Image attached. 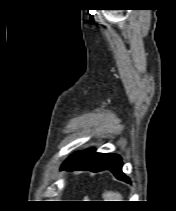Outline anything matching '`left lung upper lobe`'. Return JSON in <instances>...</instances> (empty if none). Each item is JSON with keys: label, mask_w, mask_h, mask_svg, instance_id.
<instances>
[{"label": "left lung upper lobe", "mask_w": 176, "mask_h": 211, "mask_svg": "<svg viewBox=\"0 0 176 211\" xmlns=\"http://www.w3.org/2000/svg\"><path fill=\"white\" fill-rule=\"evenodd\" d=\"M75 154H77V153H75ZM75 154H73L72 156H74ZM72 156H71V157H72ZM71 157H70V158H71Z\"/></svg>", "instance_id": "5c2ea615"}]
</instances>
